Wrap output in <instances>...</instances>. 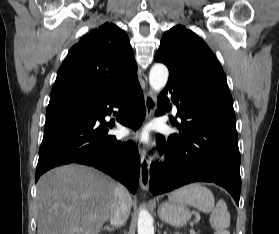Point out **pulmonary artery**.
<instances>
[{
  "mask_svg": "<svg viewBox=\"0 0 279 234\" xmlns=\"http://www.w3.org/2000/svg\"><path fill=\"white\" fill-rule=\"evenodd\" d=\"M173 112L176 113L177 112V107L173 106Z\"/></svg>",
  "mask_w": 279,
  "mask_h": 234,
  "instance_id": "pulmonary-artery-1",
  "label": "pulmonary artery"
}]
</instances>
